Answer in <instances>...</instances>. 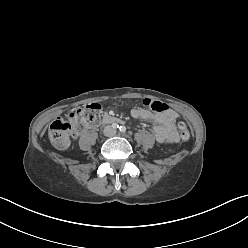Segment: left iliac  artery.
Returning a JSON list of instances; mask_svg holds the SVG:
<instances>
[{
	"label": "left iliac artery",
	"mask_w": 248,
	"mask_h": 248,
	"mask_svg": "<svg viewBox=\"0 0 248 248\" xmlns=\"http://www.w3.org/2000/svg\"><path fill=\"white\" fill-rule=\"evenodd\" d=\"M119 130H120V132L125 133L126 132V127L125 126H120Z\"/></svg>",
	"instance_id": "1"
}]
</instances>
